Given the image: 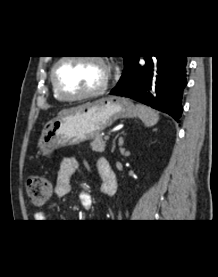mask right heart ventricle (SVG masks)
I'll list each match as a JSON object with an SVG mask.
<instances>
[{"instance_id":"1","label":"right heart ventricle","mask_w":218,"mask_h":277,"mask_svg":"<svg viewBox=\"0 0 218 277\" xmlns=\"http://www.w3.org/2000/svg\"><path fill=\"white\" fill-rule=\"evenodd\" d=\"M53 95H54L55 99H57V100H62V99L56 94V92L54 91V89H53Z\"/></svg>"}]
</instances>
